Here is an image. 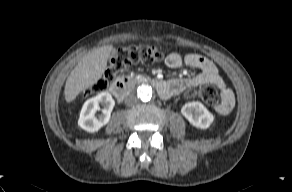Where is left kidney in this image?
<instances>
[{
    "label": "left kidney",
    "mask_w": 292,
    "mask_h": 192,
    "mask_svg": "<svg viewBox=\"0 0 292 192\" xmlns=\"http://www.w3.org/2000/svg\"><path fill=\"white\" fill-rule=\"evenodd\" d=\"M182 115L189 123L199 129L208 128L213 120V114L198 101L188 102L181 109Z\"/></svg>",
    "instance_id": "1"
}]
</instances>
